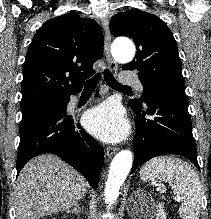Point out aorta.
Masks as SVG:
<instances>
[{"mask_svg": "<svg viewBox=\"0 0 211 219\" xmlns=\"http://www.w3.org/2000/svg\"><path fill=\"white\" fill-rule=\"evenodd\" d=\"M112 54L118 62L128 63L134 58L135 46L130 40L117 42ZM132 162L133 155L129 150L120 151L112 160L105 183V201L109 207L117 200L120 187L130 172Z\"/></svg>", "mask_w": 211, "mask_h": 219, "instance_id": "obj_1", "label": "aorta"}]
</instances>
